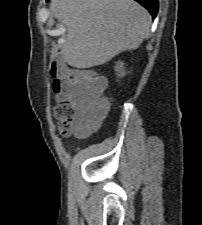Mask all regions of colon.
<instances>
[{
  "label": "colon",
  "mask_w": 202,
  "mask_h": 225,
  "mask_svg": "<svg viewBox=\"0 0 202 225\" xmlns=\"http://www.w3.org/2000/svg\"><path fill=\"white\" fill-rule=\"evenodd\" d=\"M49 75L53 79L52 88L57 97L54 118L63 137H69L73 133L81 134L86 128L84 123H74V107L67 98L68 93L76 94L91 116L96 117L106 111L108 102L103 94L104 83L92 73L64 72L55 62H52Z\"/></svg>",
  "instance_id": "1"
}]
</instances>
